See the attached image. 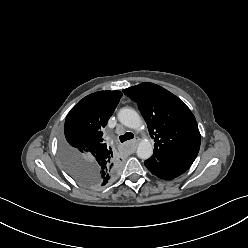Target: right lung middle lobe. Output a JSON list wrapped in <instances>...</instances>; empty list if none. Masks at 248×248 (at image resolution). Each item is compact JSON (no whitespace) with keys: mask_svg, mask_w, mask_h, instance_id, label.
I'll list each match as a JSON object with an SVG mask.
<instances>
[{"mask_svg":"<svg viewBox=\"0 0 248 248\" xmlns=\"http://www.w3.org/2000/svg\"><path fill=\"white\" fill-rule=\"evenodd\" d=\"M65 143L63 142V149ZM65 169L67 172L79 183L90 186L93 174L89 169L88 165L85 164L79 157H76L75 160L71 163H68L64 158L62 159Z\"/></svg>","mask_w":248,"mask_h":248,"instance_id":"obj_1","label":"right lung middle lobe"}]
</instances>
